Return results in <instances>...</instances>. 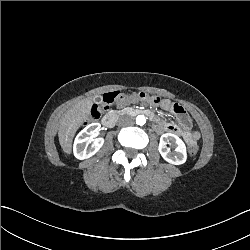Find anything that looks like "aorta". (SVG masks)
<instances>
[{
	"label": "aorta",
	"mask_w": 250,
	"mask_h": 250,
	"mask_svg": "<svg viewBox=\"0 0 250 250\" xmlns=\"http://www.w3.org/2000/svg\"><path fill=\"white\" fill-rule=\"evenodd\" d=\"M146 123V117L144 115H138L136 117V124L144 125Z\"/></svg>",
	"instance_id": "obj_1"
}]
</instances>
